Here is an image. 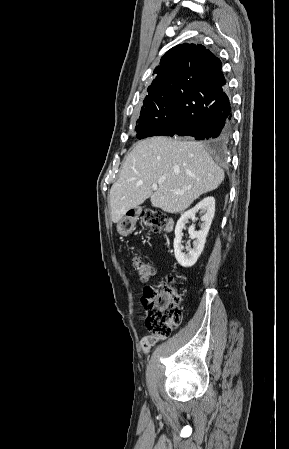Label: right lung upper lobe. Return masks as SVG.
Masks as SVG:
<instances>
[{"label":"right lung upper lobe","instance_id":"1","mask_svg":"<svg viewBox=\"0 0 289 449\" xmlns=\"http://www.w3.org/2000/svg\"><path fill=\"white\" fill-rule=\"evenodd\" d=\"M221 68L220 59L203 45H177L165 53L160 65L155 68L156 78L147 88V96L173 93L174 85L178 81H208Z\"/></svg>","mask_w":289,"mask_h":449}]
</instances>
